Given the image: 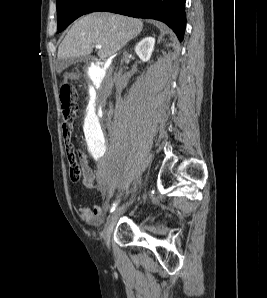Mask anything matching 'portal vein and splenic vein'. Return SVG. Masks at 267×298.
Listing matches in <instances>:
<instances>
[{
    "label": "portal vein and splenic vein",
    "mask_w": 267,
    "mask_h": 298,
    "mask_svg": "<svg viewBox=\"0 0 267 298\" xmlns=\"http://www.w3.org/2000/svg\"><path fill=\"white\" fill-rule=\"evenodd\" d=\"M95 48L99 50V49L102 48V46L101 45H96Z\"/></svg>",
    "instance_id": "obj_1"
}]
</instances>
